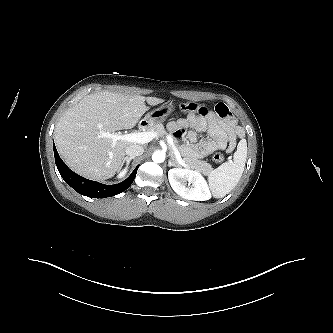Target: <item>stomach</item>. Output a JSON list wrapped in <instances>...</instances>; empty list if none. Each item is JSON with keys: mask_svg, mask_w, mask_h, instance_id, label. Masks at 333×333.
<instances>
[{"mask_svg": "<svg viewBox=\"0 0 333 333\" xmlns=\"http://www.w3.org/2000/svg\"><path fill=\"white\" fill-rule=\"evenodd\" d=\"M173 111L174 104L172 102H167L148 112L142 121H144L148 126L155 123H160L165 121Z\"/></svg>", "mask_w": 333, "mask_h": 333, "instance_id": "0dacf381", "label": "stomach"}]
</instances>
